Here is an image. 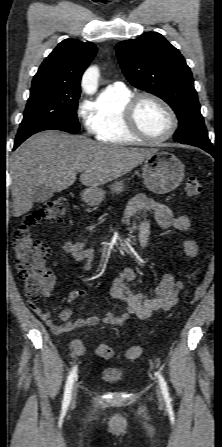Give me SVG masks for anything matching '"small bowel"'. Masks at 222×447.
<instances>
[{
  "label": "small bowel",
  "mask_w": 222,
  "mask_h": 447,
  "mask_svg": "<svg viewBox=\"0 0 222 447\" xmlns=\"http://www.w3.org/2000/svg\"><path fill=\"white\" fill-rule=\"evenodd\" d=\"M146 212L154 214L157 224L164 229L175 228L179 231L186 232L191 227V220L187 215L175 216L172 210L161 203H158L144 194H138L129 202L124 215L122 224L128 225L132 220H140L141 234L148 232L147 224L142 219ZM142 246V243H141ZM61 250L69 253L75 261H84L83 269L86 272L92 270L95 252L91 248L86 247L84 240L77 242H66L61 245ZM183 252L186 258H193L198 254V246L195 241L188 239L183 242ZM137 277L134 269L131 267H122L117 275L113 278L109 293L112 298L120 300L127 305V313L117 314L112 311L105 313L101 321L107 325L120 326L130 316H136L140 319H148L153 313L158 311L168 312L172 310L178 302V294L183 288V283L177 280L171 274H165L159 284L155 287L154 296L147 297L143 293L134 292L128 286ZM55 278L52 275L50 282L43 288L42 296L48 298L54 288ZM86 293L85 289L71 290L67 296V302L71 303ZM29 308L45 322L48 328L58 334H65L74 329L82 327L96 326L100 319L97 316H89L71 321L73 310L69 307L59 312L60 323L52 320L49 311L43 309L36 302H29ZM71 351L73 354L81 355L86 352L84 344L79 340L71 343Z\"/></svg>",
  "instance_id": "c3829d8e"
}]
</instances>
